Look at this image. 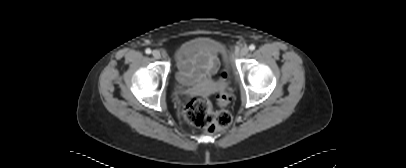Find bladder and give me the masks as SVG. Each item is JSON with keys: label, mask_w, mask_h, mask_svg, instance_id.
<instances>
[{"label": "bladder", "mask_w": 406, "mask_h": 168, "mask_svg": "<svg viewBox=\"0 0 406 168\" xmlns=\"http://www.w3.org/2000/svg\"><path fill=\"white\" fill-rule=\"evenodd\" d=\"M218 47V43L212 39L199 37L189 40L182 44L176 54V68L177 74L175 83L178 87H185L189 85L190 80L186 79L187 76H183L180 69V59L195 50L211 51Z\"/></svg>", "instance_id": "31cf9c89"}]
</instances>
